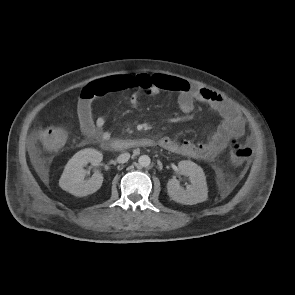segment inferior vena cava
I'll use <instances>...</instances> for the list:
<instances>
[{"mask_svg": "<svg viewBox=\"0 0 295 295\" xmlns=\"http://www.w3.org/2000/svg\"><path fill=\"white\" fill-rule=\"evenodd\" d=\"M130 154L129 153H122L118 156L117 162L118 163H125L129 160Z\"/></svg>", "mask_w": 295, "mask_h": 295, "instance_id": "obj_1", "label": "inferior vena cava"}]
</instances>
